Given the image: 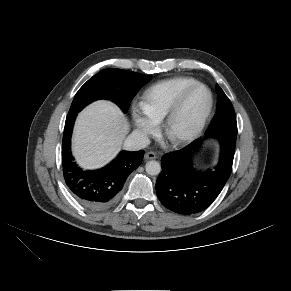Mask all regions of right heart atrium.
Segmentation results:
<instances>
[{
    "label": "right heart atrium",
    "instance_id": "1",
    "mask_svg": "<svg viewBox=\"0 0 291 291\" xmlns=\"http://www.w3.org/2000/svg\"><path fill=\"white\" fill-rule=\"evenodd\" d=\"M132 120L139 135L143 138L153 135L157 130V123L149 118L141 107L133 108Z\"/></svg>",
    "mask_w": 291,
    "mask_h": 291
}]
</instances>
